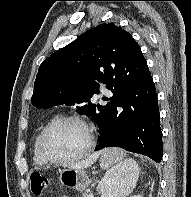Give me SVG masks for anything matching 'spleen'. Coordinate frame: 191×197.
Here are the masks:
<instances>
[{
	"mask_svg": "<svg viewBox=\"0 0 191 197\" xmlns=\"http://www.w3.org/2000/svg\"><path fill=\"white\" fill-rule=\"evenodd\" d=\"M122 159L106 173L102 197H127L135 188L140 169L132 158L124 159L125 152L119 148L110 149Z\"/></svg>",
	"mask_w": 191,
	"mask_h": 197,
	"instance_id": "1",
	"label": "spleen"
}]
</instances>
